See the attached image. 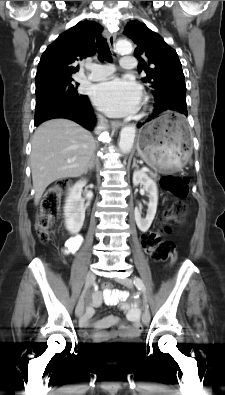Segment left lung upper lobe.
Listing matches in <instances>:
<instances>
[{
    "instance_id": "5c2ea615",
    "label": "left lung upper lobe",
    "mask_w": 225,
    "mask_h": 395,
    "mask_svg": "<svg viewBox=\"0 0 225 395\" xmlns=\"http://www.w3.org/2000/svg\"><path fill=\"white\" fill-rule=\"evenodd\" d=\"M124 34L137 44L138 70L146 73L142 80L151 85L155 99L180 98L186 103V84L176 51L137 20L127 23Z\"/></svg>"
}]
</instances>
